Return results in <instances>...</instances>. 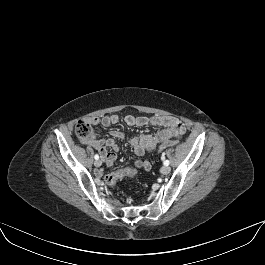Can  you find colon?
<instances>
[{
	"instance_id": "5ec220e1",
	"label": "colon",
	"mask_w": 265,
	"mask_h": 265,
	"mask_svg": "<svg viewBox=\"0 0 265 265\" xmlns=\"http://www.w3.org/2000/svg\"><path fill=\"white\" fill-rule=\"evenodd\" d=\"M75 133L77 137L83 142L88 143L95 140V133L92 128V124L88 119H82L77 122L75 126ZM176 143L177 142L175 140L163 142L162 144L159 145L158 151L162 152L168 147L175 146ZM135 175H136L135 169L130 167H125L108 174L105 177V181L109 186H114L118 180L124 177L133 178L135 177Z\"/></svg>"
}]
</instances>
